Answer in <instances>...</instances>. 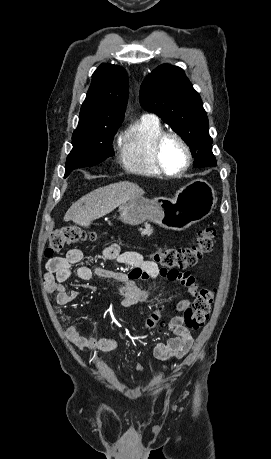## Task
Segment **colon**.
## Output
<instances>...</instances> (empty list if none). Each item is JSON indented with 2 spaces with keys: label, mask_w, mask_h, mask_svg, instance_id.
<instances>
[{
  "label": "colon",
  "mask_w": 271,
  "mask_h": 459,
  "mask_svg": "<svg viewBox=\"0 0 271 459\" xmlns=\"http://www.w3.org/2000/svg\"><path fill=\"white\" fill-rule=\"evenodd\" d=\"M216 231L211 226L203 227L195 242L183 248H163L160 247L153 254V259L159 262L163 268L181 271L194 266L205 254L213 249ZM95 234H90L75 225H64L52 232L45 255L51 257L54 253L61 251L69 245H73L86 240H93ZM215 289L203 288L194 299L192 304L184 310L183 322L190 329H198L208 319L211 304L215 296ZM164 310L157 308L149 313L144 327L148 331H154L162 322Z\"/></svg>",
  "instance_id": "1"
}]
</instances>
